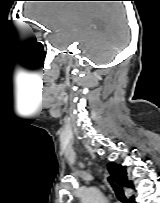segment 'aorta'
I'll return each mask as SVG.
<instances>
[{
    "label": "aorta",
    "mask_w": 160,
    "mask_h": 203,
    "mask_svg": "<svg viewBox=\"0 0 160 203\" xmlns=\"http://www.w3.org/2000/svg\"><path fill=\"white\" fill-rule=\"evenodd\" d=\"M81 203H106V200L99 189L90 187L82 193Z\"/></svg>",
    "instance_id": "obj_1"
}]
</instances>
